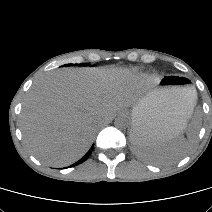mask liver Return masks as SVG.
<instances>
[{
	"mask_svg": "<svg viewBox=\"0 0 212 212\" xmlns=\"http://www.w3.org/2000/svg\"><path fill=\"white\" fill-rule=\"evenodd\" d=\"M143 80L122 68H65L36 80L20 115L27 149L43 163L62 167L81 158L96 128L137 101ZM182 122L184 110L180 107Z\"/></svg>",
	"mask_w": 212,
	"mask_h": 212,
	"instance_id": "1",
	"label": "liver"
}]
</instances>
